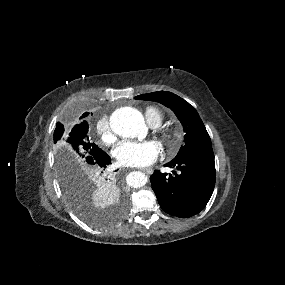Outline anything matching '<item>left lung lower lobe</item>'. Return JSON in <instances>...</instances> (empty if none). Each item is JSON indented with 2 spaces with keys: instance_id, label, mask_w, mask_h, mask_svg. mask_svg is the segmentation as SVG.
<instances>
[{
  "instance_id": "left-lung-lower-lobe-1",
  "label": "left lung lower lobe",
  "mask_w": 285,
  "mask_h": 285,
  "mask_svg": "<svg viewBox=\"0 0 285 285\" xmlns=\"http://www.w3.org/2000/svg\"><path fill=\"white\" fill-rule=\"evenodd\" d=\"M165 166L173 174L155 170L150 176L152 189L161 208L170 215L190 217L208 203L215 186L214 154H199L172 160Z\"/></svg>"
}]
</instances>
